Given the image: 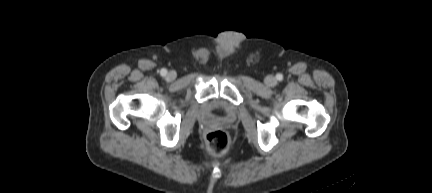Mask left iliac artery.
Returning <instances> with one entry per match:
<instances>
[{"mask_svg":"<svg viewBox=\"0 0 432 193\" xmlns=\"http://www.w3.org/2000/svg\"><path fill=\"white\" fill-rule=\"evenodd\" d=\"M276 77H277V79H278V80H280V81H281V80L283 79V76H282V74H277V76H276Z\"/></svg>","mask_w":432,"mask_h":193,"instance_id":"obj_1","label":"left iliac artery"}]
</instances>
